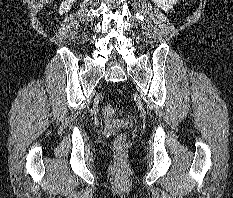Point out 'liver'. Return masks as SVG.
Segmentation results:
<instances>
[{
  "mask_svg": "<svg viewBox=\"0 0 233 198\" xmlns=\"http://www.w3.org/2000/svg\"><path fill=\"white\" fill-rule=\"evenodd\" d=\"M54 0H40V2H42V3H51V2H53Z\"/></svg>",
  "mask_w": 233,
  "mask_h": 198,
  "instance_id": "6515ba94",
  "label": "liver"
}]
</instances>
